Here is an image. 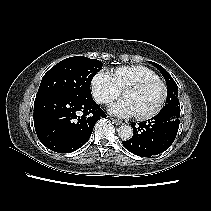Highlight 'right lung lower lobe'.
<instances>
[{
    "instance_id": "1",
    "label": "right lung lower lobe",
    "mask_w": 211,
    "mask_h": 211,
    "mask_svg": "<svg viewBox=\"0 0 211 211\" xmlns=\"http://www.w3.org/2000/svg\"><path fill=\"white\" fill-rule=\"evenodd\" d=\"M92 98L45 96L34 102V126L41 143L58 153L77 150L90 138L95 123L105 118Z\"/></svg>"
}]
</instances>
